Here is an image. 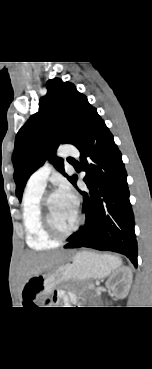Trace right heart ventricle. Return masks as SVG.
Wrapping results in <instances>:
<instances>
[{
	"instance_id": "right-heart-ventricle-1",
	"label": "right heart ventricle",
	"mask_w": 152,
	"mask_h": 369,
	"mask_svg": "<svg viewBox=\"0 0 152 369\" xmlns=\"http://www.w3.org/2000/svg\"><path fill=\"white\" fill-rule=\"evenodd\" d=\"M43 189L26 187L22 198V219L26 233V241L35 250L51 249L58 245V241L51 238L42 223L40 202Z\"/></svg>"
}]
</instances>
